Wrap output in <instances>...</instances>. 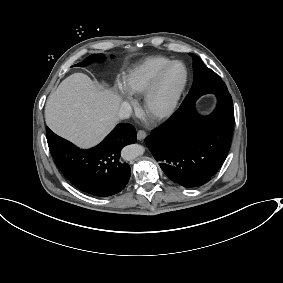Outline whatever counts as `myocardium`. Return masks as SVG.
Here are the masks:
<instances>
[{"instance_id":"obj_1","label":"myocardium","mask_w":283,"mask_h":283,"mask_svg":"<svg viewBox=\"0 0 283 283\" xmlns=\"http://www.w3.org/2000/svg\"><path fill=\"white\" fill-rule=\"evenodd\" d=\"M175 64H181L184 68V79L181 86L171 97L169 102L163 107H156L155 101L158 94L160 82L165 73ZM189 82V70L186 64L180 60H173L162 67L152 78L147 90L143 96V109L145 114L155 120L164 119L170 117L177 109L180 99Z\"/></svg>"}]
</instances>
